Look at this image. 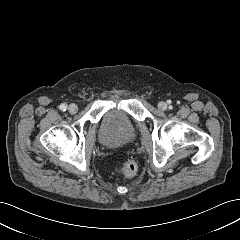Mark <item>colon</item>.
<instances>
[{"mask_svg": "<svg viewBox=\"0 0 240 240\" xmlns=\"http://www.w3.org/2000/svg\"><path fill=\"white\" fill-rule=\"evenodd\" d=\"M117 172L124 178H131L137 172V164L133 160H125L119 165Z\"/></svg>", "mask_w": 240, "mask_h": 240, "instance_id": "colon-1", "label": "colon"}]
</instances>
